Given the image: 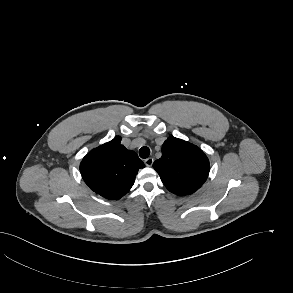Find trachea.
<instances>
[{"instance_id":"1","label":"trachea","mask_w":293,"mask_h":293,"mask_svg":"<svg viewBox=\"0 0 293 293\" xmlns=\"http://www.w3.org/2000/svg\"><path fill=\"white\" fill-rule=\"evenodd\" d=\"M139 155L141 158L146 159L150 155V149L146 146L139 150Z\"/></svg>"}]
</instances>
